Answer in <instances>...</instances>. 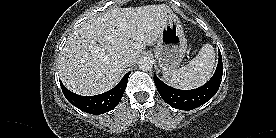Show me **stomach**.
Segmentation results:
<instances>
[{"instance_id":"obj_1","label":"stomach","mask_w":276,"mask_h":138,"mask_svg":"<svg viewBox=\"0 0 276 138\" xmlns=\"http://www.w3.org/2000/svg\"><path fill=\"white\" fill-rule=\"evenodd\" d=\"M186 50L187 40L181 21L175 13L170 12L155 48V56L161 69L164 72L174 71L185 57Z\"/></svg>"}]
</instances>
